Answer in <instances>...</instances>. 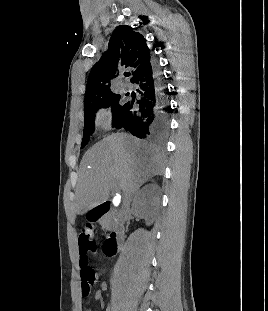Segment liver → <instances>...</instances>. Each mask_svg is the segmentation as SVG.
Here are the masks:
<instances>
[{
  "label": "liver",
  "instance_id": "liver-1",
  "mask_svg": "<svg viewBox=\"0 0 268 311\" xmlns=\"http://www.w3.org/2000/svg\"><path fill=\"white\" fill-rule=\"evenodd\" d=\"M163 168L161 154L146 143L127 134L107 136L81 160L75 212L83 215L107 201L114 183L130 196L147 180L160 175Z\"/></svg>",
  "mask_w": 268,
  "mask_h": 311
}]
</instances>
